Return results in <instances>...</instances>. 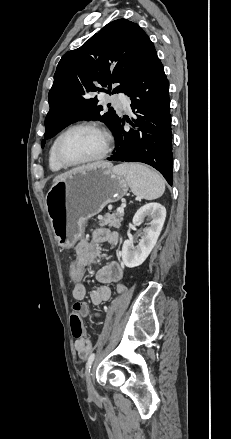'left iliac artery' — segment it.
<instances>
[{
  "instance_id": "obj_1",
  "label": "left iliac artery",
  "mask_w": 231,
  "mask_h": 439,
  "mask_svg": "<svg viewBox=\"0 0 231 439\" xmlns=\"http://www.w3.org/2000/svg\"><path fill=\"white\" fill-rule=\"evenodd\" d=\"M94 359H95V354L92 353V354L89 356L88 361H87V364H86V374L90 371V368H91V365H92Z\"/></svg>"
}]
</instances>
